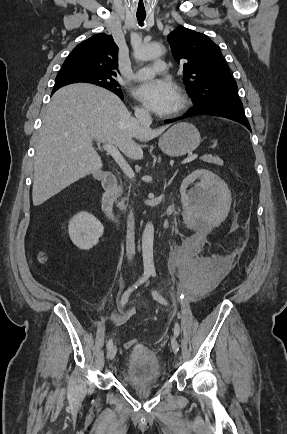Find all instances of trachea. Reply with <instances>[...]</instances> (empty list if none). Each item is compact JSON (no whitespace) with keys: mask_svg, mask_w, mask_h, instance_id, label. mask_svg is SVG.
Masks as SVG:
<instances>
[{"mask_svg":"<svg viewBox=\"0 0 287 434\" xmlns=\"http://www.w3.org/2000/svg\"><path fill=\"white\" fill-rule=\"evenodd\" d=\"M139 25L143 26V22L146 18V14H136Z\"/></svg>","mask_w":287,"mask_h":434,"instance_id":"1","label":"trachea"}]
</instances>
